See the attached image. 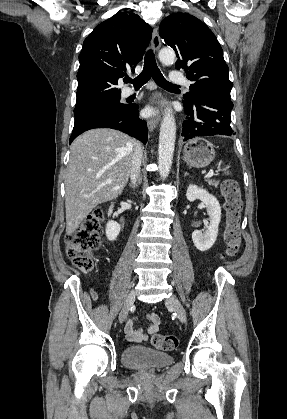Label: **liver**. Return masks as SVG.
<instances>
[{"label":"liver","mask_w":287,"mask_h":419,"mask_svg":"<svg viewBox=\"0 0 287 419\" xmlns=\"http://www.w3.org/2000/svg\"><path fill=\"white\" fill-rule=\"evenodd\" d=\"M136 144L130 136L105 128L89 130L71 144L65 177L68 236L97 205L122 193Z\"/></svg>","instance_id":"obj_1"}]
</instances>
